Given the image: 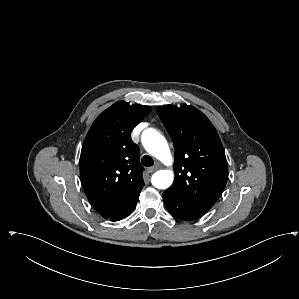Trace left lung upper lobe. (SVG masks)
<instances>
[{
  "label": "left lung upper lobe",
  "mask_w": 299,
  "mask_h": 299,
  "mask_svg": "<svg viewBox=\"0 0 299 299\" xmlns=\"http://www.w3.org/2000/svg\"><path fill=\"white\" fill-rule=\"evenodd\" d=\"M156 111L175 147V180L168 190L208 211L228 179L225 152L216 129L190 105H166Z\"/></svg>",
  "instance_id": "left-lung-upper-lobe-1"
}]
</instances>
